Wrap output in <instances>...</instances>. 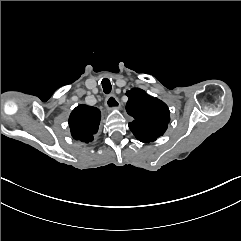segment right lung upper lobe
Instances as JSON below:
<instances>
[{
	"label": "right lung upper lobe",
	"instance_id": "1",
	"mask_svg": "<svg viewBox=\"0 0 241 241\" xmlns=\"http://www.w3.org/2000/svg\"><path fill=\"white\" fill-rule=\"evenodd\" d=\"M99 109L87 105L76 107L69 117V126L74 139L84 143L92 142L100 124Z\"/></svg>",
	"mask_w": 241,
	"mask_h": 241
}]
</instances>
